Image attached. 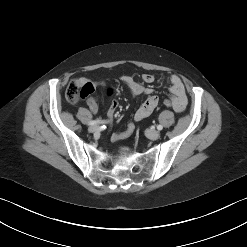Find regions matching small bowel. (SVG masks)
<instances>
[{
  "mask_svg": "<svg viewBox=\"0 0 247 247\" xmlns=\"http://www.w3.org/2000/svg\"><path fill=\"white\" fill-rule=\"evenodd\" d=\"M142 80L145 83L150 84L155 81V77L152 74H143ZM76 81L81 85L90 84L93 87V89L96 86L105 85L104 82L94 83L85 77L78 78ZM121 81L123 82V84L127 87V89L130 91V93L133 96L135 97L141 96V95L148 96L147 99L136 110L134 114V119L136 121H141L144 118L148 117L155 110L159 102L158 98L152 95L153 89L150 87H145L141 83L135 81L130 76H122ZM169 83H170V91L172 94L170 99L174 103V110L176 112H182L187 105V95H186V90H185L183 81L181 80L179 76L172 75L169 79ZM108 94L112 96L113 91L111 89H108ZM87 105L92 113H96L98 111V104L95 98L89 97L87 99ZM117 109H118V102L116 99H112L110 107L108 109L109 116H113L117 112ZM133 130H134V125L130 123L124 132L115 133L113 134L112 138L113 140L122 139L130 135L133 132Z\"/></svg>",
  "mask_w": 247,
  "mask_h": 247,
  "instance_id": "small-bowel-1",
  "label": "small bowel"
}]
</instances>
